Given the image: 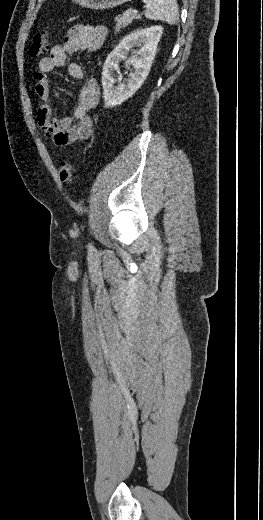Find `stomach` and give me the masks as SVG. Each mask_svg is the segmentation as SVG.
Returning a JSON list of instances; mask_svg holds the SVG:
<instances>
[{"instance_id":"1","label":"stomach","mask_w":263,"mask_h":520,"mask_svg":"<svg viewBox=\"0 0 263 520\" xmlns=\"http://www.w3.org/2000/svg\"><path fill=\"white\" fill-rule=\"evenodd\" d=\"M76 4L94 10H106L122 5L131 0H72Z\"/></svg>"}]
</instances>
